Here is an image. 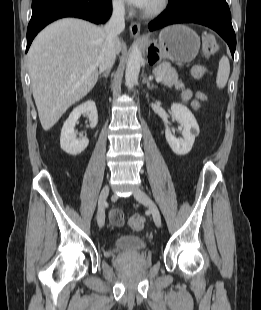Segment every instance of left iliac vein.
<instances>
[{"label":"left iliac vein","mask_w":261,"mask_h":310,"mask_svg":"<svg viewBox=\"0 0 261 310\" xmlns=\"http://www.w3.org/2000/svg\"><path fill=\"white\" fill-rule=\"evenodd\" d=\"M134 197L137 201L141 202L142 204L146 205L153 217V220L155 222V225L157 227L161 226V215L159 212L158 207L153 202V200L141 189H136L134 192Z\"/></svg>","instance_id":"left-iliac-vein-1"}]
</instances>
